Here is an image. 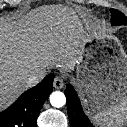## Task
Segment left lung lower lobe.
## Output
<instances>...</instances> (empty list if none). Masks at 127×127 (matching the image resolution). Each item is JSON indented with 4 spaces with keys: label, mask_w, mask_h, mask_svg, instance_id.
I'll list each match as a JSON object with an SVG mask.
<instances>
[{
    "label": "left lung lower lobe",
    "mask_w": 127,
    "mask_h": 127,
    "mask_svg": "<svg viewBox=\"0 0 127 127\" xmlns=\"http://www.w3.org/2000/svg\"><path fill=\"white\" fill-rule=\"evenodd\" d=\"M65 96L71 127H94L84 114L78 95L71 84H67Z\"/></svg>",
    "instance_id": "0a47b994"
}]
</instances>
